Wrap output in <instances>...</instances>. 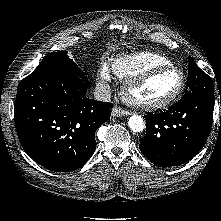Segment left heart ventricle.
<instances>
[{"label":"left heart ventricle","mask_w":221,"mask_h":221,"mask_svg":"<svg viewBox=\"0 0 221 221\" xmlns=\"http://www.w3.org/2000/svg\"><path fill=\"white\" fill-rule=\"evenodd\" d=\"M181 77L176 71L159 73L132 91V97L138 101H157L170 96L179 86Z\"/></svg>","instance_id":"left-heart-ventricle-1"}]
</instances>
